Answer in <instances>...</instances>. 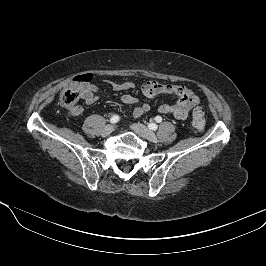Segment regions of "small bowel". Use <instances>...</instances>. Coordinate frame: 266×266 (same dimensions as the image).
I'll return each instance as SVG.
<instances>
[{"label":"small bowel","instance_id":"c3829d8e","mask_svg":"<svg viewBox=\"0 0 266 266\" xmlns=\"http://www.w3.org/2000/svg\"><path fill=\"white\" fill-rule=\"evenodd\" d=\"M108 85L114 91H129L136 88L133 82H114L107 81ZM140 92L147 98H152L157 94L167 93L177 96V101L173 104H162L159 107V112L163 115L172 116L177 120H185L190 110L199 103L198 97L186 86L175 85L168 83H161L158 81H148L140 86ZM99 97V88L88 82L81 88V98L88 105L93 104ZM122 102L125 104H135L137 98L131 94H124L122 96ZM150 111V105L143 103L141 106L135 108L133 116L139 118ZM83 112L81 106H77L70 112L72 116H78Z\"/></svg>","mask_w":266,"mask_h":266}]
</instances>
